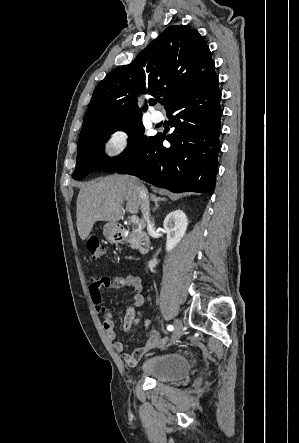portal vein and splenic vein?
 Returning <instances> with one entry per match:
<instances>
[{
  "mask_svg": "<svg viewBox=\"0 0 299 443\" xmlns=\"http://www.w3.org/2000/svg\"><path fill=\"white\" fill-rule=\"evenodd\" d=\"M130 221L132 224H138L139 223V218L135 215L130 217Z\"/></svg>",
  "mask_w": 299,
  "mask_h": 443,
  "instance_id": "portal-vein-and-splenic-vein-1",
  "label": "portal vein and splenic vein"
}]
</instances>
